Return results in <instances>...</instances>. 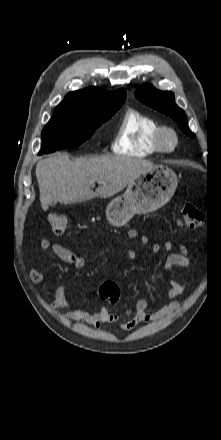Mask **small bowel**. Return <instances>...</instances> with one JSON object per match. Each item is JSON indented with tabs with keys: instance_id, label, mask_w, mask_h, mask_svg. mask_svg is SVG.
Listing matches in <instances>:
<instances>
[{
	"instance_id": "c3829d8e",
	"label": "small bowel",
	"mask_w": 221,
	"mask_h": 440,
	"mask_svg": "<svg viewBox=\"0 0 221 440\" xmlns=\"http://www.w3.org/2000/svg\"><path fill=\"white\" fill-rule=\"evenodd\" d=\"M128 237L132 240H139L142 244L148 242V238L145 235H140L136 229H130ZM40 247L44 250H51L62 261L74 265L77 269H83L87 265V259L84 256L74 253L59 243L43 239L40 241ZM172 248L173 246L170 242L164 241L161 244H153L151 251L156 254L161 249H164L168 253L164 265L167 272H171L175 267H190L191 262L188 258L187 248L179 244V252L177 253L171 252ZM124 251L129 260H135L136 254L132 249L126 248ZM29 275L35 282L43 280V274L33 266L29 269ZM184 293V287L174 278H169V288L166 290L165 296L170 302L156 312L148 311L149 302L146 299L138 300L134 307L123 312H115L108 307H102L96 312H89L81 308L72 307L67 300V287L59 285L54 291V299L50 302V308L65 310L64 317L67 320L84 322L95 329H98L102 324L115 322L120 317H126L127 321L121 323L120 328L124 331H130L143 322L160 320L175 312L180 306V298Z\"/></svg>"
}]
</instances>
